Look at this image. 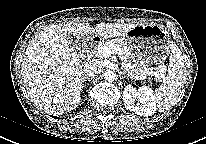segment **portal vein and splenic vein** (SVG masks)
I'll list each match as a JSON object with an SVG mask.
<instances>
[{"label": "portal vein and splenic vein", "mask_w": 206, "mask_h": 144, "mask_svg": "<svg viewBox=\"0 0 206 144\" xmlns=\"http://www.w3.org/2000/svg\"><path fill=\"white\" fill-rule=\"evenodd\" d=\"M117 52H120V48L117 47L116 45L114 44H109V45H104V46H101L98 50V53L104 57H108L114 53H117ZM162 66H160L161 68ZM149 75H152L155 77L156 81L159 79V73L156 72V71H151L149 72ZM144 77H139L140 80H142Z\"/></svg>", "instance_id": "portal-vein-and-splenic-vein-1"}]
</instances>
